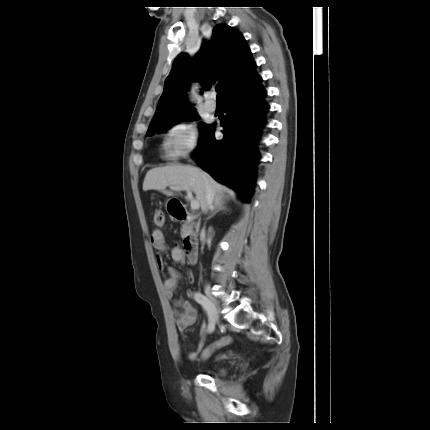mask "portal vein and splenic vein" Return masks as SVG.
<instances>
[{
    "label": "portal vein and splenic vein",
    "mask_w": 430,
    "mask_h": 430,
    "mask_svg": "<svg viewBox=\"0 0 430 430\" xmlns=\"http://www.w3.org/2000/svg\"><path fill=\"white\" fill-rule=\"evenodd\" d=\"M172 190H185L187 192V196L190 199V205L192 210H197L199 208V202L197 200H194L192 197V191L190 188L187 187H181V186H170Z\"/></svg>",
    "instance_id": "1"
}]
</instances>
